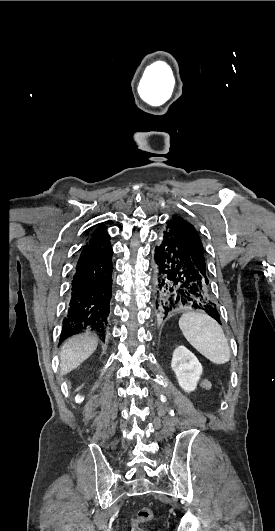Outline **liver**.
Returning <instances> with one entry per match:
<instances>
[{"label":"liver","instance_id":"1","mask_svg":"<svg viewBox=\"0 0 275 531\" xmlns=\"http://www.w3.org/2000/svg\"><path fill=\"white\" fill-rule=\"evenodd\" d=\"M97 345V337H93L91 333L75 335L68 339L60 351V375H67L77 369L96 351Z\"/></svg>","mask_w":275,"mask_h":531}]
</instances>
